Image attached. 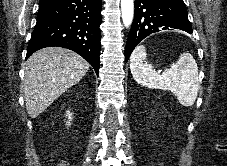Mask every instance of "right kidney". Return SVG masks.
Here are the masks:
<instances>
[{"instance_id":"right-kidney-1","label":"right kidney","mask_w":227,"mask_h":166,"mask_svg":"<svg viewBox=\"0 0 227 166\" xmlns=\"http://www.w3.org/2000/svg\"><path fill=\"white\" fill-rule=\"evenodd\" d=\"M67 116H68L69 119H71V114L69 112L67 113Z\"/></svg>"}]
</instances>
